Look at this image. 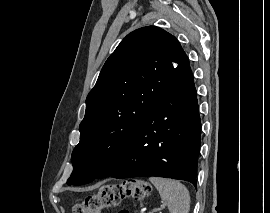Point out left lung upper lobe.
Masks as SVG:
<instances>
[{
  "label": "left lung upper lobe",
  "mask_w": 270,
  "mask_h": 213,
  "mask_svg": "<svg viewBox=\"0 0 270 213\" xmlns=\"http://www.w3.org/2000/svg\"><path fill=\"white\" fill-rule=\"evenodd\" d=\"M189 67L178 40L155 26L128 34L105 62L86 98L69 185L100 177L176 78Z\"/></svg>",
  "instance_id": "5c2ea615"
}]
</instances>
